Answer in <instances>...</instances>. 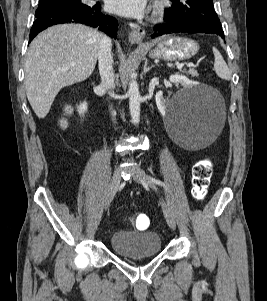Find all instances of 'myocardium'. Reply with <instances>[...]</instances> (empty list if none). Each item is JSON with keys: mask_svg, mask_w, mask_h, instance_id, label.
<instances>
[{"mask_svg": "<svg viewBox=\"0 0 267 301\" xmlns=\"http://www.w3.org/2000/svg\"><path fill=\"white\" fill-rule=\"evenodd\" d=\"M169 7L168 0H156L154 7H153V17L160 18L162 17Z\"/></svg>", "mask_w": 267, "mask_h": 301, "instance_id": "myocardium-1", "label": "myocardium"}]
</instances>
